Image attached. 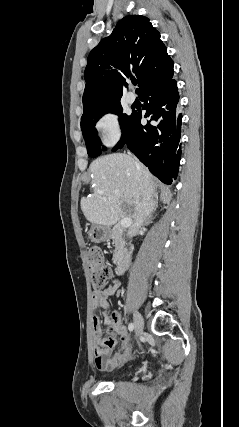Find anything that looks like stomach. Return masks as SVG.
Listing matches in <instances>:
<instances>
[{"instance_id": "obj_1", "label": "stomach", "mask_w": 239, "mask_h": 427, "mask_svg": "<svg viewBox=\"0 0 239 427\" xmlns=\"http://www.w3.org/2000/svg\"><path fill=\"white\" fill-rule=\"evenodd\" d=\"M111 231L108 227L93 224L88 232L89 238L94 243H100L110 238Z\"/></svg>"}]
</instances>
